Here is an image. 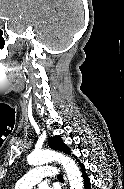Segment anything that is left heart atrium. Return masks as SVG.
<instances>
[{"mask_svg": "<svg viewBox=\"0 0 124 189\" xmlns=\"http://www.w3.org/2000/svg\"><path fill=\"white\" fill-rule=\"evenodd\" d=\"M41 189H52V188L45 186V187H42Z\"/></svg>", "mask_w": 124, "mask_h": 189, "instance_id": "obj_1", "label": "left heart atrium"}]
</instances>
